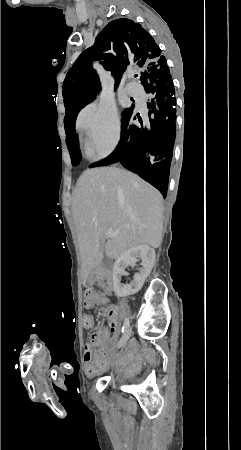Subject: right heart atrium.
<instances>
[{"label":"right heart atrium","instance_id":"right-heart-atrium-1","mask_svg":"<svg viewBox=\"0 0 241 450\" xmlns=\"http://www.w3.org/2000/svg\"><path fill=\"white\" fill-rule=\"evenodd\" d=\"M86 132L85 153L93 158H104L114 150L120 136V122L116 110L106 104L92 105L77 123Z\"/></svg>","mask_w":241,"mask_h":450}]
</instances>
